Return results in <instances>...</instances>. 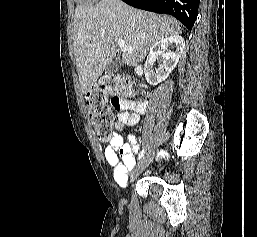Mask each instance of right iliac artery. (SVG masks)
I'll return each mask as SVG.
<instances>
[{
  "instance_id": "right-iliac-artery-1",
  "label": "right iliac artery",
  "mask_w": 257,
  "mask_h": 237,
  "mask_svg": "<svg viewBox=\"0 0 257 237\" xmlns=\"http://www.w3.org/2000/svg\"><path fill=\"white\" fill-rule=\"evenodd\" d=\"M144 153H145V149H142V151L139 153V156H138V159L140 160L143 156H144ZM166 152L165 151H161L160 154L164 156Z\"/></svg>"
}]
</instances>
